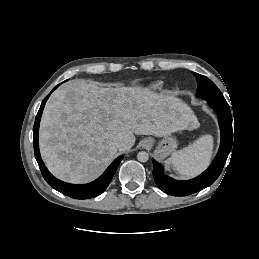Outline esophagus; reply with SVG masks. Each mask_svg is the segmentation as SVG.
<instances>
[{
	"instance_id": "obj_1",
	"label": "esophagus",
	"mask_w": 259,
	"mask_h": 259,
	"mask_svg": "<svg viewBox=\"0 0 259 259\" xmlns=\"http://www.w3.org/2000/svg\"><path fill=\"white\" fill-rule=\"evenodd\" d=\"M148 145H150V142L149 141H145L144 146H148Z\"/></svg>"
}]
</instances>
